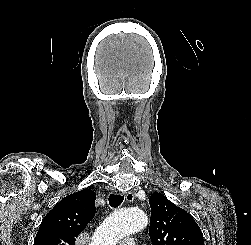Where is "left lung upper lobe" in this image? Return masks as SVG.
<instances>
[{
	"label": "left lung upper lobe",
	"mask_w": 251,
	"mask_h": 245,
	"mask_svg": "<svg viewBox=\"0 0 251 245\" xmlns=\"http://www.w3.org/2000/svg\"><path fill=\"white\" fill-rule=\"evenodd\" d=\"M149 203V234L153 245H204L199 226L184 209L160 193L152 194Z\"/></svg>",
	"instance_id": "5c2ea615"
}]
</instances>
